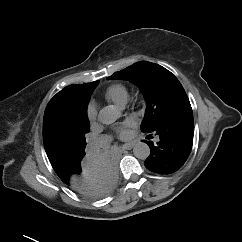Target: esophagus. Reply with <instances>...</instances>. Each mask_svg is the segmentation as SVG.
Wrapping results in <instances>:
<instances>
[{
	"instance_id": "esophagus-1",
	"label": "esophagus",
	"mask_w": 242,
	"mask_h": 242,
	"mask_svg": "<svg viewBox=\"0 0 242 242\" xmlns=\"http://www.w3.org/2000/svg\"><path fill=\"white\" fill-rule=\"evenodd\" d=\"M133 146H134V143H126V144H124L123 146H122V150H130V149H132L133 148Z\"/></svg>"
}]
</instances>
